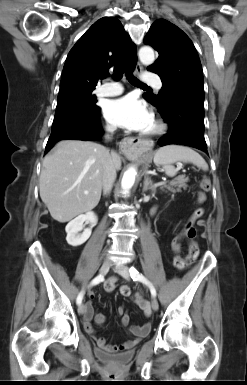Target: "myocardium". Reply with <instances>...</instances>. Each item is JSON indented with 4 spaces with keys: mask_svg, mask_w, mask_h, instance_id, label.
I'll list each match as a JSON object with an SVG mask.
<instances>
[{
    "mask_svg": "<svg viewBox=\"0 0 247 385\" xmlns=\"http://www.w3.org/2000/svg\"><path fill=\"white\" fill-rule=\"evenodd\" d=\"M165 129H166L165 123L158 116H154L153 117V128L149 131H146L144 133V136L154 137V136L162 134L165 131Z\"/></svg>",
    "mask_w": 247,
    "mask_h": 385,
    "instance_id": "1",
    "label": "myocardium"
}]
</instances>
